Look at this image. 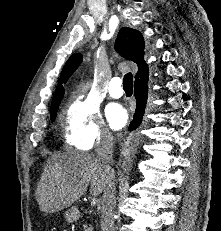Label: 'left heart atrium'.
<instances>
[{
	"instance_id": "obj_1",
	"label": "left heart atrium",
	"mask_w": 221,
	"mask_h": 231,
	"mask_svg": "<svg viewBox=\"0 0 221 231\" xmlns=\"http://www.w3.org/2000/svg\"><path fill=\"white\" fill-rule=\"evenodd\" d=\"M106 118L113 129L122 128L128 119L126 110L119 104H110L106 109Z\"/></svg>"
}]
</instances>
